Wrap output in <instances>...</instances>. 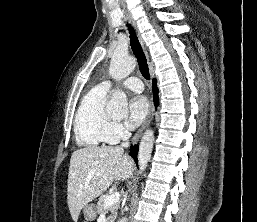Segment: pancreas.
Listing matches in <instances>:
<instances>
[{"mask_svg":"<svg viewBox=\"0 0 257 222\" xmlns=\"http://www.w3.org/2000/svg\"><path fill=\"white\" fill-rule=\"evenodd\" d=\"M108 195H101L96 206V211L98 214H102L104 211L110 212V215L107 217V222H114L117 217V210L119 208V203H115L111 206L105 207L104 202Z\"/></svg>","mask_w":257,"mask_h":222,"instance_id":"obj_1","label":"pancreas"}]
</instances>
